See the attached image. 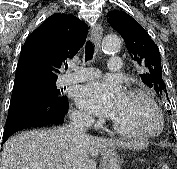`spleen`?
<instances>
[{"label":"spleen","instance_id":"obj_1","mask_svg":"<svg viewBox=\"0 0 177 169\" xmlns=\"http://www.w3.org/2000/svg\"><path fill=\"white\" fill-rule=\"evenodd\" d=\"M161 169H169V167L166 164H163Z\"/></svg>","mask_w":177,"mask_h":169}]
</instances>
